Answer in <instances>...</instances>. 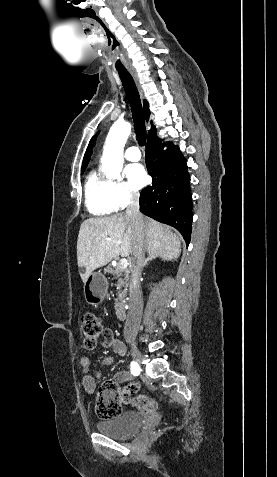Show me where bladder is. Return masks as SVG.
<instances>
[{
    "label": "bladder",
    "mask_w": 277,
    "mask_h": 477,
    "mask_svg": "<svg viewBox=\"0 0 277 477\" xmlns=\"http://www.w3.org/2000/svg\"><path fill=\"white\" fill-rule=\"evenodd\" d=\"M143 419L136 411H124L117 416L99 421L97 430L112 438H127L135 434L142 426Z\"/></svg>",
    "instance_id": "bladder-1"
}]
</instances>
